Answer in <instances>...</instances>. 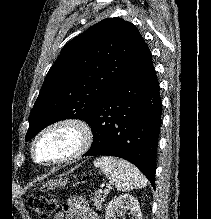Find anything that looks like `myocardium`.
Instances as JSON below:
<instances>
[{"instance_id":"1","label":"myocardium","mask_w":211,"mask_h":219,"mask_svg":"<svg viewBox=\"0 0 211 219\" xmlns=\"http://www.w3.org/2000/svg\"><path fill=\"white\" fill-rule=\"evenodd\" d=\"M65 128L72 129L77 134V141L73 150L66 156L52 161H39L36 157V146L39 141L49 132ZM93 139L94 133L92 127L85 120L78 117L59 118L48 123L37 132L30 144V156L35 164L43 167L69 164L80 159L89 151L93 144Z\"/></svg>"}]
</instances>
